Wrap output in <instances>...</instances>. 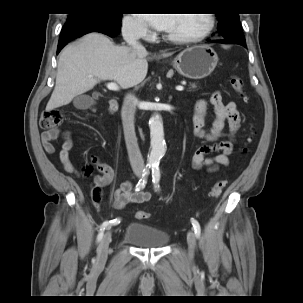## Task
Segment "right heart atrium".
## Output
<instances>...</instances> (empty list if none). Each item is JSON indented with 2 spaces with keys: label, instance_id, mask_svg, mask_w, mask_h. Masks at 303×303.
Instances as JSON below:
<instances>
[{
  "label": "right heart atrium",
  "instance_id": "d8ad5b80",
  "mask_svg": "<svg viewBox=\"0 0 303 303\" xmlns=\"http://www.w3.org/2000/svg\"><path fill=\"white\" fill-rule=\"evenodd\" d=\"M125 35L133 38H147L149 30L146 24L134 15L125 16L121 25Z\"/></svg>",
  "mask_w": 303,
  "mask_h": 303
}]
</instances>
